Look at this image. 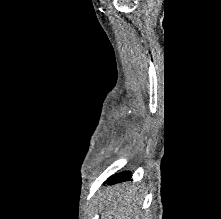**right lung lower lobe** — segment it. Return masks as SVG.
Wrapping results in <instances>:
<instances>
[{"instance_id": "1", "label": "right lung lower lobe", "mask_w": 221, "mask_h": 219, "mask_svg": "<svg viewBox=\"0 0 221 219\" xmlns=\"http://www.w3.org/2000/svg\"><path fill=\"white\" fill-rule=\"evenodd\" d=\"M130 177H131L130 173L122 172L120 174H117V175H114V176L108 178L106 183L107 184H114L117 182L129 180Z\"/></svg>"}]
</instances>
